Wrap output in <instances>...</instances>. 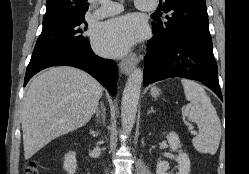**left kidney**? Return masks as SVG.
<instances>
[{
    "instance_id": "left-kidney-1",
    "label": "left kidney",
    "mask_w": 249,
    "mask_h": 174,
    "mask_svg": "<svg viewBox=\"0 0 249 174\" xmlns=\"http://www.w3.org/2000/svg\"><path fill=\"white\" fill-rule=\"evenodd\" d=\"M167 140L170 145V148L173 151H176L180 147V140L176 133L170 132L167 135ZM178 162V172L177 174H189L190 172V160L186 153L180 152L176 157ZM169 169V163L167 161H159L157 163L156 174H168L167 170Z\"/></svg>"
}]
</instances>
